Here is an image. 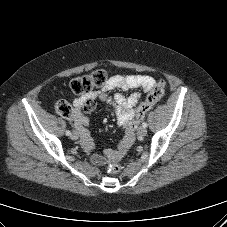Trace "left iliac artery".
Listing matches in <instances>:
<instances>
[{"instance_id": "obj_1", "label": "left iliac artery", "mask_w": 227, "mask_h": 227, "mask_svg": "<svg viewBox=\"0 0 227 227\" xmlns=\"http://www.w3.org/2000/svg\"><path fill=\"white\" fill-rule=\"evenodd\" d=\"M142 126L144 127V128H146L148 125H147V123H142Z\"/></svg>"}]
</instances>
